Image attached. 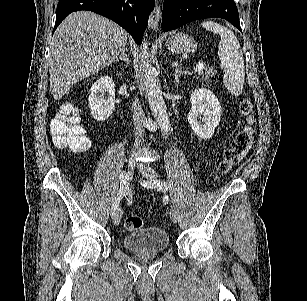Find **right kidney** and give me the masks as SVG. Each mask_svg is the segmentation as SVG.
<instances>
[{"label": "right kidney", "mask_w": 307, "mask_h": 301, "mask_svg": "<svg viewBox=\"0 0 307 301\" xmlns=\"http://www.w3.org/2000/svg\"><path fill=\"white\" fill-rule=\"evenodd\" d=\"M88 106L93 118L105 120L115 110V84L111 76H100L91 86Z\"/></svg>", "instance_id": "obj_1"}]
</instances>
